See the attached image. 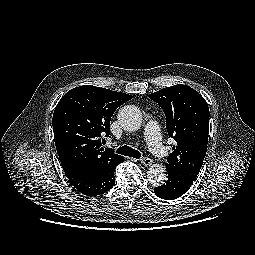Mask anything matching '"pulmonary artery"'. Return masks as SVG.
<instances>
[{
	"label": "pulmonary artery",
	"mask_w": 255,
	"mask_h": 255,
	"mask_svg": "<svg viewBox=\"0 0 255 255\" xmlns=\"http://www.w3.org/2000/svg\"><path fill=\"white\" fill-rule=\"evenodd\" d=\"M144 138L150 150L156 155H160L163 145L161 142L160 129L157 122L150 120L144 127Z\"/></svg>",
	"instance_id": "pulmonary-artery-1"
}]
</instances>
